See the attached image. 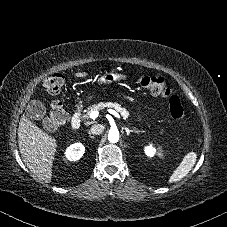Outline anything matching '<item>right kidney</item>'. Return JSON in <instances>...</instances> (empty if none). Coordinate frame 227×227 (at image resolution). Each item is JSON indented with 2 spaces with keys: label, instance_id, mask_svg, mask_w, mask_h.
Returning <instances> with one entry per match:
<instances>
[{
  "label": "right kidney",
  "instance_id": "right-kidney-1",
  "mask_svg": "<svg viewBox=\"0 0 227 227\" xmlns=\"http://www.w3.org/2000/svg\"><path fill=\"white\" fill-rule=\"evenodd\" d=\"M84 151L85 148L81 143H75L66 149L65 156L70 161H77L83 156Z\"/></svg>",
  "mask_w": 227,
  "mask_h": 227
}]
</instances>
